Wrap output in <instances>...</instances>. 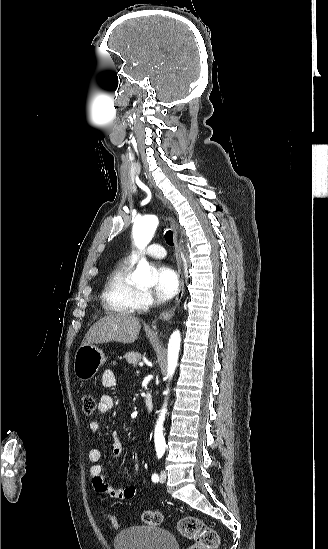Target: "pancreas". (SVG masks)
Masks as SVG:
<instances>
[{
    "label": "pancreas",
    "mask_w": 328,
    "mask_h": 549,
    "mask_svg": "<svg viewBox=\"0 0 328 549\" xmlns=\"http://www.w3.org/2000/svg\"><path fill=\"white\" fill-rule=\"evenodd\" d=\"M123 359H125L127 363H132V365H138L139 361H141V355H139V353H134V351H132V353H126Z\"/></svg>",
    "instance_id": "obj_1"
}]
</instances>
